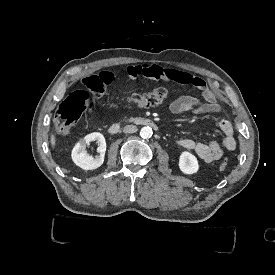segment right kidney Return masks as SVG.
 <instances>
[{"instance_id": "right-kidney-1", "label": "right kidney", "mask_w": 275, "mask_h": 275, "mask_svg": "<svg viewBox=\"0 0 275 275\" xmlns=\"http://www.w3.org/2000/svg\"><path fill=\"white\" fill-rule=\"evenodd\" d=\"M91 141H97L99 146L97 152L100 153L99 156H90L86 151V145ZM106 151V141L104 136L99 132H94L86 135L84 138L80 139L72 150V160L73 162L84 170H93L100 167L104 162V156Z\"/></svg>"}]
</instances>
